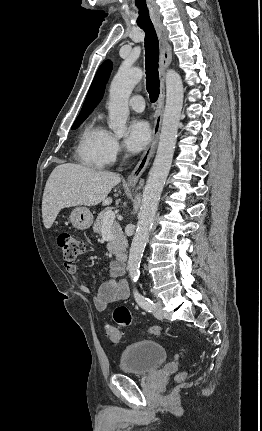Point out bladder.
Returning <instances> with one entry per match:
<instances>
[{"mask_svg": "<svg viewBox=\"0 0 262 431\" xmlns=\"http://www.w3.org/2000/svg\"><path fill=\"white\" fill-rule=\"evenodd\" d=\"M168 358L167 350L155 340L141 338L130 343L121 353L119 368L133 375L149 374Z\"/></svg>", "mask_w": 262, "mask_h": 431, "instance_id": "31cf9c89", "label": "bladder"}]
</instances>
